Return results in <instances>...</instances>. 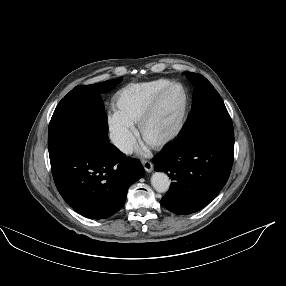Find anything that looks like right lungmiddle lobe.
<instances>
[{"label":"right lung middle lobe","mask_w":286,"mask_h":286,"mask_svg":"<svg viewBox=\"0 0 286 286\" xmlns=\"http://www.w3.org/2000/svg\"><path fill=\"white\" fill-rule=\"evenodd\" d=\"M121 80L77 86L59 102L49 124V155L80 142L91 144L106 154L112 153L101 94Z\"/></svg>","instance_id":"dd1d6c3e"}]
</instances>
